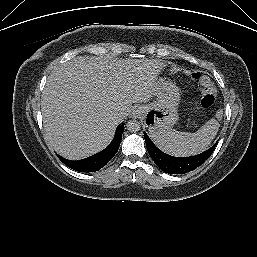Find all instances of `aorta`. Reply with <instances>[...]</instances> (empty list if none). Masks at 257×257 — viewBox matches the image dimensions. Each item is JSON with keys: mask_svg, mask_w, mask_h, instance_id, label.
Returning <instances> with one entry per match:
<instances>
[{"mask_svg": "<svg viewBox=\"0 0 257 257\" xmlns=\"http://www.w3.org/2000/svg\"><path fill=\"white\" fill-rule=\"evenodd\" d=\"M126 126L127 130L130 132H138L141 128V125L137 120L128 121Z\"/></svg>", "mask_w": 257, "mask_h": 257, "instance_id": "1", "label": "aorta"}]
</instances>
